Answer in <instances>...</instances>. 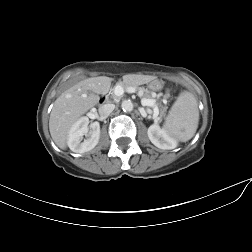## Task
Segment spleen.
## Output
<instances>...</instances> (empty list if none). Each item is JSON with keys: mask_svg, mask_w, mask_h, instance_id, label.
<instances>
[{"mask_svg": "<svg viewBox=\"0 0 252 252\" xmlns=\"http://www.w3.org/2000/svg\"><path fill=\"white\" fill-rule=\"evenodd\" d=\"M198 122L197 100L191 92L183 91L165 119V130L177 140L186 142L196 133Z\"/></svg>", "mask_w": 252, "mask_h": 252, "instance_id": "1", "label": "spleen"}]
</instances>
